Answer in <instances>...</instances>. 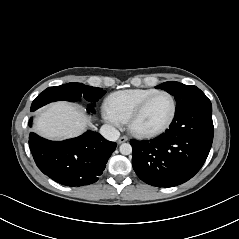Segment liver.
Here are the masks:
<instances>
[{"instance_id": "6515ba94", "label": "liver", "mask_w": 239, "mask_h": 239, "mask_svg": "<svg viewBox=\"0 0 239 239\" xmlns=\"http://www.w3.org/2000/svg\"><path fill=\"white\" fill-rule=\"evenodd\" d=\"M91 125V118L78 106L55 102L37 117L34 130L43 137L61 140L76 137Z\"/></svg>"}]
</instances>
